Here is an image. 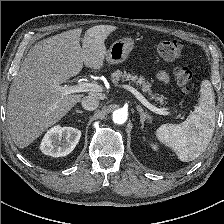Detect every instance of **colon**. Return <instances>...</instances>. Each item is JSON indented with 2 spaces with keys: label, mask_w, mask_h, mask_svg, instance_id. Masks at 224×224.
Returning a JSON list of instances; mask_svg holds the SVG:
<instances>
[{
  "label": "colon",
  "mask_w": 224,
  "mask_h": 224,
  "mask_svg": "<svg viewBox=\"0 0 224 224\" xmlns=\"http://www.w3.org/2000/svg\"><path fill=\"white\" fill-rule=\"evenodd\" d=\"M183 43L179 40H163L157 45L158 54L166 60L178 59L183 51ZM177 85L183 93H188L191 88L193 72L188 65H179L174 70Z\"/></svg>",
  "instance_id": "colon-1"
}]
</instances>
